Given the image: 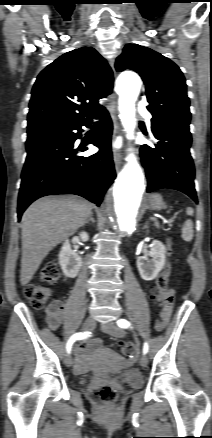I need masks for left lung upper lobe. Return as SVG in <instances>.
I'll return each instance as SVG.
<instances>
[{
    "mask_svg": "<svg viewBox=\"0 0 212 438\" xmlns=\"http://www.w3.org/2000/svg\"><path fill=\"white\" fill-rule=\"evenodd\" d=\"M115 67L119 72L134 70L142 77L152 123L189 126L191 113L185 78L170 59L150 48L127 44Z\"/></svg>",
    "mask_w": 212,
    "mask_h": 438,
    "instance_id": "left-lung-upper-lobe-1",
    "label": "left lung upper lobe"
}]
</instances>
